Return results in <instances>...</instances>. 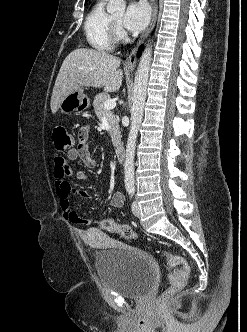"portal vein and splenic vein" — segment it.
I'll return each instance as SVG.
<instances>
[{
	"instance_id": "18ae733b",
	"label": "portal vein and splenic vein",
	"mask_w": 247,
	"mask_h": 332,
	"mask_svg": "<svg viewBox=\"0 0 247 332\" xmlns=\"http://www.w3.org/2000/svg\"><path fill=\"white\" fill-rule=\"evenodd\" d=\"M115 107H116L115 100L109 99V100H106L104 103V109H106V110L114 109Z\"/></svg>"
}]
</instances>
